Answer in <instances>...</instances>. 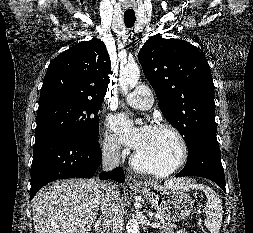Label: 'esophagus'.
Returning <instances> with one entry per match:
<instances>
[{
    "instance_id": "obj_1",
    "label": "esophagus",
    "mask_w": 253,
    "mask_h": 233,
    "mask_svg": "<svg viewBox=\"0 0 253 233\" xmlns=\"http://www.w3.org/2000/svg\"><path fill=\"white\" fill-rule=\"evenodd\" d=\"M126 182L127 185H129L130 187H137V186H143V183L140 181H137L134 177H132L131 175H127L126 176Z\"/></svg>"
}]
</instances>
